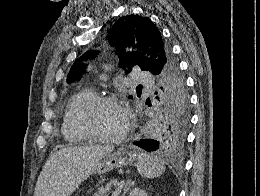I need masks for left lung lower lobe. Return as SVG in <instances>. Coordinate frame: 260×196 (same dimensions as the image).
<instances>
[{
    "instance_id": "0a47b994",
    "label": "left lung lower lobe",
    "mask_w": 260,
    "mask_h": 196,
    "mask_svg": "<svg viewBox=\"0 0 260 196\" xmlns=\"http://www.w3.org/2000/svg\"><path fill=\"white\" fill-rule=\"evenodd\" d=\"M135 145L143 148L146 151H156L158 149V144L152 139H145L141 141L134 142Z\"/></svg>"
}]
</instances>
